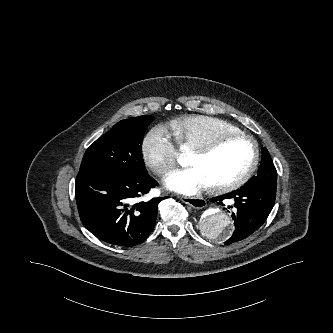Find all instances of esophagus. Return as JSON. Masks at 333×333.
I'll list each match as a JSON object with an SVG mask.
<instances>
[{
    "label": "esophagus",
    "mask_w": 333,
    "mask_h": 333,
    "mask_svg": "<svg viewBox=\"0 0 333 333\" xmlns=\"http://www.w3.org/2000/svg\"><path fill=\"white\" fill-rule=\"evenodd\" d=\"M180 199L185 204L191 205L196 209H201L206 206V201L203 198L180 196Z\"/></svg>",
    "instance_id": "34e87169"
}]
</instances>
